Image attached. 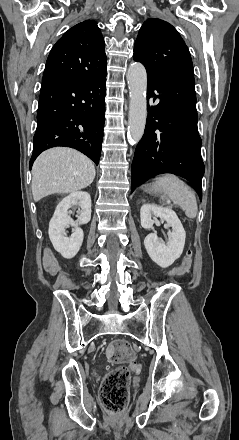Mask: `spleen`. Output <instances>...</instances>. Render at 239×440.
Listing matches in <instances>:
<instances>
[{
    "mask_svg": "<svg viewBox=\"0 0 239 440\" xmlns=\"http://www.w3.org/2000/svg\"><path fill=\"white\" fill-rule=\"evenodd\" d=\"M155 184L162 188L165 194L163 198H169L174 204H178L182 210H185L187 218H196L198 208L195 192L187 184H184L173 174H164L161 178H156Z\"/></svg>",
    "mask_w": 239,
    "mask_h": 440,
    "instance_id": "spleen-1",
    "label": "spleen"
}]
</instances>
